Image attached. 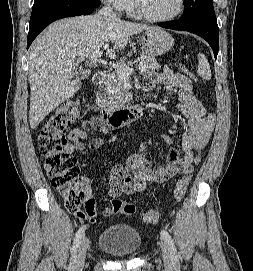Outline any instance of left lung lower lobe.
Returning <instances> with one entry per match:
<instances>
[{"instance_id": "obj_1", "label": "left lung lower lobe", "mask_w": 253, "mask_h": 271, "mask_svg": "<svg viewBox=\"0 0 253 271\" xmlns=\"http://www.w3.org/2000/svg\"><path fill=\"white\" fill-rule=\"evenodd\" d=\"M160 26L173 30L188 31L204 38L213 49L215 59L217 58L219 49V28L215 14H210L190 23L174 21Z\"/></svg>"}]
</instances>
